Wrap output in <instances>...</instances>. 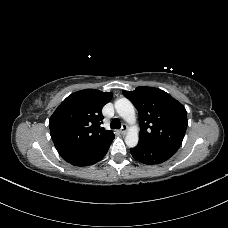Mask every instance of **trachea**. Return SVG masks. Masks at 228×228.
<instances>
[{"label":"trachea","mask_w":228,"mask_h":228,"mask_svg":"<svg viewBox=\"0 0 228 228\" xmlns=\"http://www.w3.org/2000/svg\"><path fill=\"white\" fill-rule=\"evenodd\" d=\"M121 128V122L119 119L117 118H114L112 121H111V129H119Z\"/></svg>","instance_id":"trachea-1"}]
</instances>
